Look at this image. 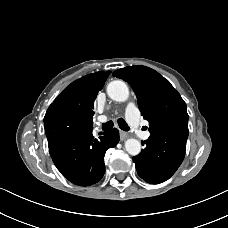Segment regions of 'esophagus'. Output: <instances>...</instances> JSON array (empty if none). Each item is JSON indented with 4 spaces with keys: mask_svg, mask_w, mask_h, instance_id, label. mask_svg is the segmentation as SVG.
I'll return each instance as SVG.
<instances>
[{
    "mask_svg": "<svg viewBox=\"0 0 228 228\" xmlns=\"http://www.w3.org/2000/svg\"><path fill=\"white\" fill-rule=\"evenodd\" d=\"M129 137V134L125 131L120 130V140L124 141Z\"/></svg>",
    "mask_w": 228,
    "mask_h": 228,
    "instance_id": "esophagus-1",
    "label": "esophagus"
}]
</instances>
